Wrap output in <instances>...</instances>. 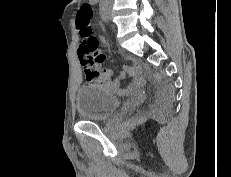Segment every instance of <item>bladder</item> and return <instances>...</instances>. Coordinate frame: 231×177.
I'll return each mask as SVG.
<instances>
[{"instance_id": "obj_1", "label": "bladder", "mask_w": 231, "mask_h": 177, "mask_svg": "<svg viewBox=\"0 0 231 177\" xmlns=\"http://www.w3.org/2000/svg\"><path fill=\"white\" fill-rule=\"evenodd\" d=\"M79 116L85 120H102L109 117L118 107V98L97 85L81 87L75 97Z\"/></svg>"}]
</instances>
